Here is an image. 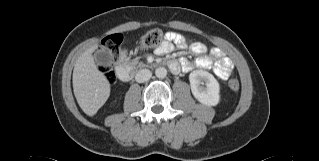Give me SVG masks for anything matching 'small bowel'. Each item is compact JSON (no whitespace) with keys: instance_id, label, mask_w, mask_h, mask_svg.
Instances as JSON below:
<instances>
[{"instance_id":"1","label":"small bowel","mask_w":319,"mask_h":161,"mask_svg":"<svg viewBox=\"0 0 319 161\" xmlns=\"http://www.w3.org/2000/svg\"><path fill=\"white\" fill-rule=\"evenodd\" d=\"M172 42L182 48L189 45L187 39L181 34L169 32L165 35L164 41L156 48V53L158 55L168 54L173 48ZM189 49L197 58L194 61L182 58L180 68L183 71L188 72L194 68L212 69L221 80H227L234 74L233 62L219 48H212L209 54L205 55L207 52L206 45L201 42H193L189 45Z\"/></svg>"}]
</instances>
